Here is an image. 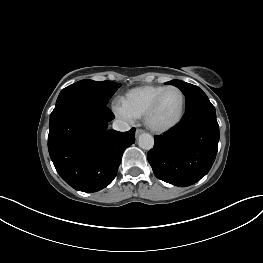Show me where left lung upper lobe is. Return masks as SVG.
<instances>
[{
	"mask_svg": "<svg viewBox=\"0 0 263 263\" xmlns=\"http://www.w3.org/2000/svg\"><path fill=\"white\" fill-rule=\"evenodd\" d=\"M166 84L174 85L183 92L186 98L185 110L199 103L209 101L206 94L199 87L193 84H189L181 80H172V81L167 82Z\"/></svg>",
	"mask_w": 263,
	"mask_h": 263,
	"instance_id": "1",
	"label": "left lung upper lobe"
}]
</instances>
